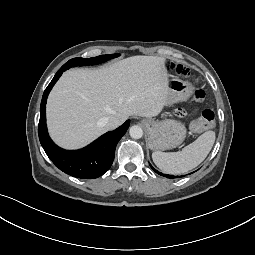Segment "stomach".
Here are the masks:
<instances>
[{"mask_svg": "<svg viewBox=\"0 0 255 255\" xmlns=\"http://www.w3.org/2000/svg\"><path fill=\"white\" fill-rule=\"evenodd\" d=\"M193 91L189 82L174 79L169 85L167 104H173L186 100ZM148 133V146L154 151H164L176 148L185 140L186 127L181 122L173 119L155 121L143 120Z\"/></svg>", "mask_w": 255, "mask_h": 255, "instance_id": "0dacf381", "label": "stomach"}]
</instances>
